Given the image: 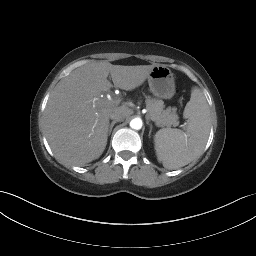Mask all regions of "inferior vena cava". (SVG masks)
Here are the masks:
<instances>
[{
    "mask_svg": "<svg viewBox=\"0 0 256 256\" xmlns=\"http://www.w3.org/2000/svg\"><path fill=\"white\" fill-rule=\"evenodd\" d=\"M110 118L114 121H122L124 119L123 114L118 111V110H114L111 114H110Z\"/></svg>",
    "mask_w": 256,
    "mask_h": 256,
    "instance_id": "1",
    "label": "inferior vena cava"
}]
</instances>
